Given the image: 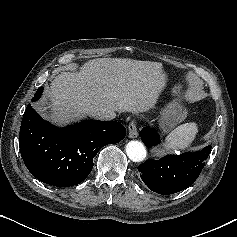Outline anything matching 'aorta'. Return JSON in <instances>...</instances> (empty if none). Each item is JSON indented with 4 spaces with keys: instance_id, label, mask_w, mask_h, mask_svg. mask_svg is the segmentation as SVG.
<instances>
[{
    "instance_id": "aorta-1",
    "label": "aorta",
    "mask_w": 237,
    "mask_h": 237,
    "mask_svg": "<svg viewBox=\"0 0 237 237\" xmlns=\"http://www.w3.org/2000/svg\"><path fill=\"white\" fill-rule=\"evenodd\" d=\"M126 153L133 162H141L146 158V149L139 141H129L126 145Z\"/></svg>"
}]
</instances>
